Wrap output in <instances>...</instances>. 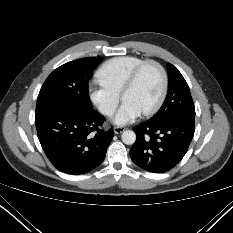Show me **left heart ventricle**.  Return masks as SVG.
I'll list each match as a JSON object with an SVG mask.
<instances>
[{"instance_id":"left-heart-ventricle-1","label":"left heart ventricle","mask_w":233,"mask_h":233,"mask_svg":"<svg viewBox=\"0 0 233 233\" xmlns=\"http://www.w3.org/2000/svg\"><path fill=\"white\" fill-rule=\"evenodd\" d=\"M162 88V77L158 68L148 65L139 76L135 86L123 97L141 112L150 109L157 102Z\"/></svg>"}]
</instances>
